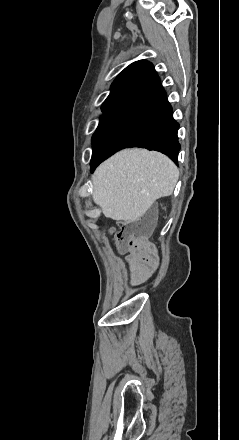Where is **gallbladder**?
<instances>
[{
	"instance_id": "obj_1",
	"label": "gallbladder",
	"mask_w": 239,
	"mask_h": 440,
	"mask_svg": "<svg viewBox=\"0 0 239 440\" xmlns=\"http://www.w3.org/2000/svg\"><path fill=\"white\" fill-rule=\"evenodd\" d=\"M151 212H152V208H150V210H148V212H147V214L145 216V226H147V224H148V222L150 220L149 216H151Z\"/></svg>"
}]
</instances>
